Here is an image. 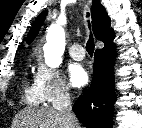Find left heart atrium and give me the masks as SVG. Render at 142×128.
<instances>
[{"mask_svg":"<svg viewBox=\"0 0 142 128\" xmlns=\"http://www.w3.org/2000/svg\"><path fill=\"white\" fill-rule=\"evenodd\" d=\"M71 85L76 88L84 87L88 83L87 71L79 64H72L68 69Z\"/></svg>","mask_w":142,"mask_h":128,"instance_id":"39dd6f15","label":"left heart atrium"}]
</instances>
